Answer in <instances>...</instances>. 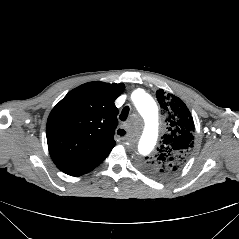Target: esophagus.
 <instances>
[{"mask_svg": "<svg viewBox=\"0 0 239 239\" xmlns=\"http://www.w3.org/2000/svg\"><path fill=\"white\" fill-rule=\"evenodd\" d=\"M116 136L120 140H126L128 138V132H127V130L124 127L120 126L116 130Z\"/></svg>", "mask_w": 239, "mask_h": 239, "instance_id": "34e87169", "label": "esophagus"}]
</instances>
